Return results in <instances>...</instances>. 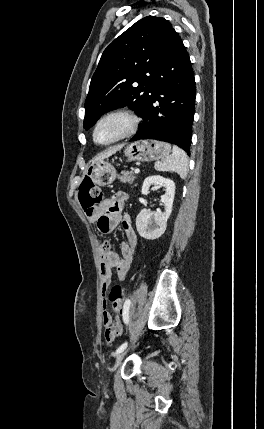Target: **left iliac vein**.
<instances>
[{"instance_id":"left-iliac-vein-1","label":"left iliac vein","mask_w":264,"mask_h":429,"mask_svg":"<svg viewBox=\"0 0 264 429\" xmlns=\"http://www.w3.org/2000/svg\"><path fill=\"white\" fill-rule=\"evenodd\" d=\"M126 353H127V350H123L121 353H119L117 355L115 364L112 367V372H114L117 369V367L121 364V362H122L124 356L126 355Z\"/></svg>"}]
</instances>
